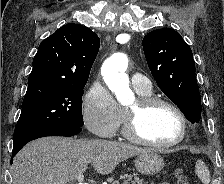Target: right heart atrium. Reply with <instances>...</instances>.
Here are the masks:
<instances>
[{"mask_svg": "<svg viewBox=\"0 0 224 184\" xmlns=\"http://www.w3.org/2000/svg\"><path fill=\"white\" fill-rule=\"evenodd\" d=\"M82 117L89 131L111 137L121 124L122 110L107 87L95 81L84 96Z\"/></svg>", "mask_w": 224, "mask_h": 184, "instance_id": "1", "label": "right heart atrium"}]
</instances>
